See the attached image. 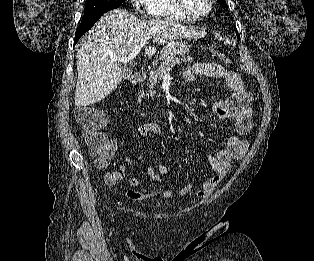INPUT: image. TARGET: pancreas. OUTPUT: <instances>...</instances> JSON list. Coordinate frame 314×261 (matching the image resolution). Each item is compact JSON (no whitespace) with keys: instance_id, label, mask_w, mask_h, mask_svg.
Instances as JSON below:
<instances>
[{"instance_id":"1","label":"pancreas","mask_w":314,"mask_h":261,"mask_svg":"<svg viewBox=\"0 0 314 261\" xmlns=\"http://www.w3.org/2000/svg\"><path fill=\"white\" fill-rule=\"evenodd\" d=\"M168 47L165 46L163 51H167ZM191 56H182L180 59L175 57L174 55H167L163 58L161 65L155 70L151 71L149 74V88L153 89V87L157 84L158 80H161L164 75L171 70L176 64H180L182 62H191ZM155 92L150 90V96H154Z\"/></svg>"}]
</instances>
